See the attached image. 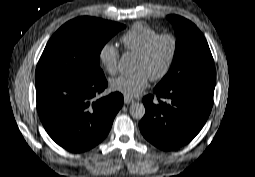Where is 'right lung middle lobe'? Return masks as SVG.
I'll list each match as a JSON object with an SVG mask.
<instances>
[{
  "label": "right lung middle lobe",
  "instance_id": "obj_1",
  "mask_svg": "<svg viewBox=\"0 0 255 177\" xmlns=\"http://www.w3.org/2000/svg\"><path fill=\"white\" fill-rule=\"evenodd\" d=\"M125 26L93 17L64 24L48 41L38 62L35 81L51 77L95 80L103 77L100 52Z\"/></svg>",
  "mask_w": 255,
  "mask_h": 177
}]
</instances>
